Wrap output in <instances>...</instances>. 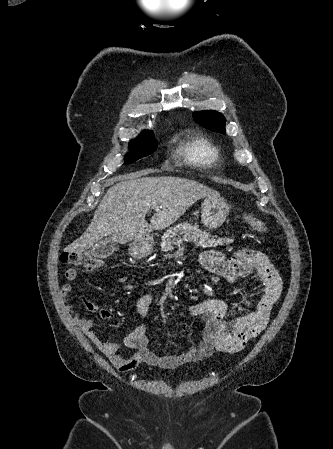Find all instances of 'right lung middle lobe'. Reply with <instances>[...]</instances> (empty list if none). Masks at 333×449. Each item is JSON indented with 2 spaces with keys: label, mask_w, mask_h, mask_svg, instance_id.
I'll return each instance as SVG.
<instances>
[{
  "label": "right lung middle lobe",
  "mask_w": 333,
  "mask_h": 449,
  "mask_svg": "<svg viewBox=\"0 0 333 449\" xmlns=\"http://www.w3.org/2000/svg\"><path fill=\"white\" fill-rule=\"evenodd\" d=\"M146 138L143 140H136L130 143V151L125 156V163L130 164L142 157L152 154L157 147L154 139V134L149 131L143 132Z\"/></svg>",
  "instance_id": "dd1d6c3e"
}]
</instances>
